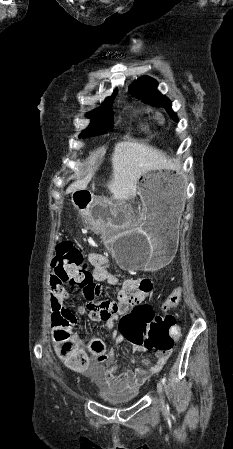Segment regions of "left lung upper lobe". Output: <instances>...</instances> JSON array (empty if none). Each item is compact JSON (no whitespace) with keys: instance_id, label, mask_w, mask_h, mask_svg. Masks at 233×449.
Masks as SVG:
<instances>
[{"instance_id":"5c2ea615","label":"left lung upper lobe","mask_w":233,"mask_h":449,"mask_svg":"<svg viewBox=\"0 0 233 449\" xmlns=\"http://www.w3.org/2000/svg\"><path fill=\"white\" fill-rule=\"evenodd\" d=\"M158 83L155 79L148 76H142L132 83L130 93L132 96L142 100L155 107H164L172 115L175 121H178L176 113L171 109L170 100L157 91Z\"/></svg>"}]
</instances>
